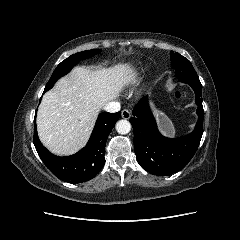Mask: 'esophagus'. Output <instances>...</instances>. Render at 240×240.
Wrapping results in <instances>:
<instances>
[{
	"mask_svg": "<svg viewBox=\"0 0 240 240\" xmlns=\"http://www.w3.org/2000/svg\"><path fill=\"white\" fill-rule=\"evenodd\" d=\"M121 117L123 119H130L131 117V112L128 110V109H124L122 112H121Z\"/></svg>",
	"mask_w": 240,
	"mask_h": 240,
	"instance_id": "esophagus-1",
	"label": "esophagus"
}]
</instances>
